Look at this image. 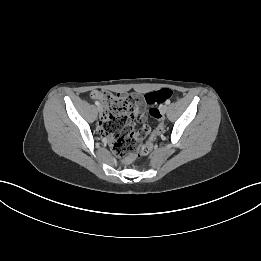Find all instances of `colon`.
<instances>
[{"instance_id": "1", "label": "colon", "mask_w": 261, "mask_h": 261, "mask_svg": "<svg viewBox=\"0 0 261 261\" xmlns=\"http://www.w3.org/2000/svg\"><path fill=\"white\" fill-rule=\"evenodd\" d=\"M172 96L173 91L165 88L146 94L144 100L154 105ZM91 97L99 99L104 104L105 110L100 122V130L106 135L113 136L112 150L122 159L124 164H128L140 155L147 153L151 149L152 142L165 129L162 123L164 118L159 109L151 108L150 115L160 124L156 130L150 132L147 143L141 145L139 137L141 130L136 132L132 121L134 104L128 98L102 90L93 91Z\"/></svg>"}]
</instances>
